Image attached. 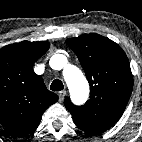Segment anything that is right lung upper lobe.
<instances>
[{
    "instance_id": "cb5924a9",
    "label": "right lung upper lobe",
    "mask_w": 142,
    "mask_h": 142,
    "mask_svg": "<svg viewBox=\"0 0 142 142\" xmlns=\"http://www.w3.org/2000/svg\"><path fill=\"white\" fill-rule=\"evenodd\" d=\"M48 49V42L23 41L0 50V123L17 136L34 132L44 111L58 100L33 71Z\"/></svg>"
}]
</instances>
